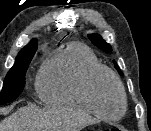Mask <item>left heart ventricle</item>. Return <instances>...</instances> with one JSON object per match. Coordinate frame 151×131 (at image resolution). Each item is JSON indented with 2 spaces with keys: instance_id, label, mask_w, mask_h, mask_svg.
Masks as SVG:
<instances>
[{
  "instance_id": "left-heart-ventricle-1",
  "label": "left heart ventricle",
  "mask_w": 151,
  "mask_h": 131,
  "mask_svg": "<svg viewBox=\"0 0 151 131\" xmlns=\"http://www.w3.org/2000/svg\"><path fill=\"white\" fill-rule=\"evenodd\" d=\"M94 100L101 112L108 116H116L121 111L122 101L119 91L107 75H100L93 86Z\"/></svg>"
}]
</instances>
